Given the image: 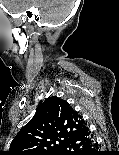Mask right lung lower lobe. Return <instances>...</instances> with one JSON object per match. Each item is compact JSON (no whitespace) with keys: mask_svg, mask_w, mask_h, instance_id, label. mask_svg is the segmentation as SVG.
Instances as JSON below:
<instances>
[{"mask_svg":"<svg viewBox=\"0 0 119 155\" xmlns=\"http://www.w3.org/2000/svg\"><path fill=\"white\" fill-rule=\"evenodd\" d=\"M98 144L88 127L65 143L57 155H99Z\"/></svg>","mask_w":119,"mask_h":155,"instance_id":"right-lung-lower-lobe-1","label":"right lung lower lobe"}]
</instances>
